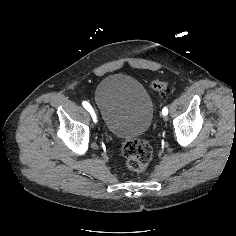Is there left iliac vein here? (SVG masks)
<instances>
[{"instance_id":"obj_1","label":"left iliac vein","mask_w":236,"mask_h":236,"mask_svg":"<svg viewBox=\"0 0 236 236\" xmlns=\"http://www.w3.org/2000/svg\"><path fill=\"white\" fill-rule=\"evenodd\" d=\"M163 120H164V121H167V120H168V117H167L166 114L163 116Z\"/></svg>"}]
</instances>
